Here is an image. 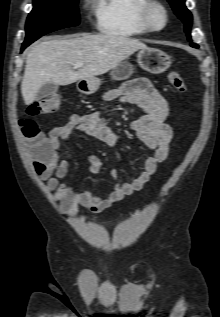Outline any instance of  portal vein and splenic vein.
<instances>
[{"mask_svg":"<svg viewBox=\"0 0 220 317\" xmlns=\"http://www.w3.org/2000/svg\"><path fill=\"white\" fill-rule=\"evenodd\" d=\"M83 66H84V63H81V62H80V63L75 64V65H74V68L77 69V68H81V67H83Z\"/></svg>","mask_w":220,"mask_h":317,"instance_id":"1","label":"portal vein and splenic vein"}]
</instances>
